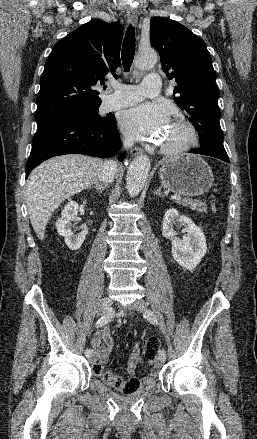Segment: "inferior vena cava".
Returning <instances> with one entry per match:
<instances>
[{"label": "inferior vena cava", "mask_w": 257, "mask_h": 439, "mask_svg": "<svg viewBox=\"0 0 257 439\" xmlns=\"http://www.w3.org/2000/svg\"><path fill=\"white\" fill-rule=\"evenodd\" d=\"M123 144L125 148H129L132 147L133 141L130 139H125ZM115 172H116V163L114 161H108L103 171L100 173L99 180L105 184L110 183L113 181Z\"/></svg>", "instance_id": "obj_1"}]
</instances>
